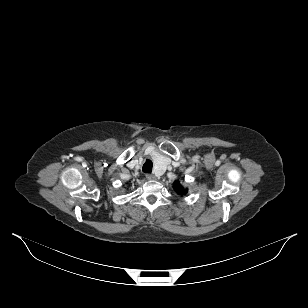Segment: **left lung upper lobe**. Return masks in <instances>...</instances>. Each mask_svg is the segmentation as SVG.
I'll list each match as a JSON object with an SVG mask.
<instances>
[{
  "label": "left lung upper lobe",
  "mask_w": 308,
  "mask_h": 308,
  "mask_svg": "<svg viewBox=\"0 0 308 308\" xmlns=\"http://www.w3.org/2000/svg\"><path fill=\"white\" fill-rule=\"evenodd\" d=\"M174 188L175 190L178 192V193H182V194H185L187 190H183L180 183L179 182H176L174 184Z\"/></svg>",
  "instance_id": "left-lung-upper-lobe-1"
}]
</instances>
